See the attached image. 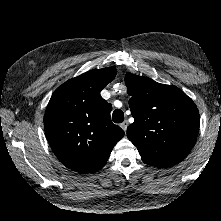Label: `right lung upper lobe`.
<instances>
[{
	"instance_id": "right-lung-upper-lobe-1",
	"label": "right lung upper lobe",
	"mask_w": 221,
	"mask_h": 221,
	"mask_svg": "<svg viewBox=\"0 0 221 221\" xmlns=\"http://www.w3.org/2000/svg\"><path fill=\"white\" fill-rule=\"evenodd\" d=\"M114 67L90 70L53 93L44 115L47 140L68 168L93 173L104 167L124 131L110 118L111 104L100 92L116 76Z\"/></svg>"
}]
</instances>
